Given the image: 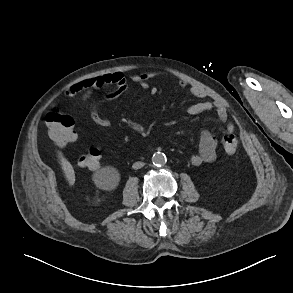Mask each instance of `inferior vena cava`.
Instances as JSON below:
<instances>
[{
  "label": "inferior vena cava",
  "mask_w": 293,
  "mask_h": 293,
  "mask_svg": "<svg viewBox=\"0 0 293 293\" xmlns=\"http://www.w3.org/2000/svg\"><path fill=\"white\" fill-rule=\"evenodd\" d=\"M144 165H145L144 162H135V163L132 165V168H133V169H140V168H142Z\"/></svg>",
  "instance_id": "1"
}]
</instances>
